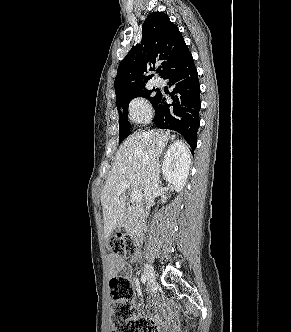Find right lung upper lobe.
I'll use <instances>...</instances> for the list:
<instances>
[{"label": "right lung upper lobe", "mask_w": 291, "mask_h": 332, "mask_svg": "<svg viewBox=\"0 0 291 332\" xmlns=\"http://www.w3.org/2000/svg\"><path fill=\"white\" fill-rule=\"evenodd\" d=\"M190 57L183 36L177 26L169 21L168 15L153 12L143 23L141 44L133 46L118 67L114 82L116 100L145 87L152 76H146V73L154 70L156 62H162L160 76L164 77Z\"/></svg>", "instance_id": "obj_1"}]
</instances>
